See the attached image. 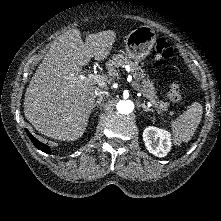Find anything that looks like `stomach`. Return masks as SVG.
Returning a JSON list of instances; mask_svg holds the SVG:
<instances>
[{
  "instance_id": "0dacf381",
  "label": "stomach",
  "mask_w": 221,
  "mask_h": 221,
  "mask_svg": "<svg viewBox=\"0 0 221 221\" xmlns=\"http://www.w3.org/2000/svg\"><path fill=\"white\" fill-rule=\"evenodd\" d=\"M156 41L154 29L140 26L133 30L125 40L126 52L129 58L137 63L144 60L150 53Z\"/></svg>"
}]
</instances>
